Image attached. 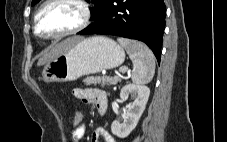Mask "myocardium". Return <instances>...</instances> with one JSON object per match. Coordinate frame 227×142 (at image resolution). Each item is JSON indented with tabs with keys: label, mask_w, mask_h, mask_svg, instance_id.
Wrapping results in <instances>:
<instances>
[{
	"label": "myocardium",
	"mask_w": 227,
	"mask_h": 142,
	"mask_svg": "<svg viewBox=\"0 0 227 142\" xmlns=\"http://www.w3.org/2000/svg\"><path fill=\"white\" fill-rule=\"evenodd\" d=\"M57 2H73V3L77 4L82 11V19L76 27H74V28H72L68 31L61 32V33H58V34H52V35L42 34L38 29L39 15L43 11L44 8H46L47 6H49L53 3H57ZM91 18H92V7L87 0H45L40 5V7L38 8V10L35 13V16H34V33L37 36L44 38V39L63 38V37L70 36V35H73V34H76L80 31H82L84 28H86L89 25Z\"/></svg>",
	"instance_id": "myocardium-1"
}]
</instances>
